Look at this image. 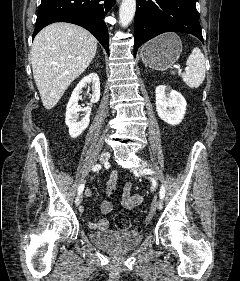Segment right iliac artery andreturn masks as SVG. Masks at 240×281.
<instances>
[{
    "label": "right iliac artery",
    "instance_id": "right-iliac-artery-1",
    "mask_svg": "<svg viewBox=\"0 0 240 281\" xmlns=\"http://www.w3.org/2000/svg\"><path fill=\"white\" fill-rule=\"evenodd\" d=\"M101 169V165L100 164H96L95 166H93L92 170L93 171H99ZM84 190V184H81L78 188V194H81Z\"/></svg>",
    "mask_w": 240,
    "mask_h": 281
}]
</instances>
